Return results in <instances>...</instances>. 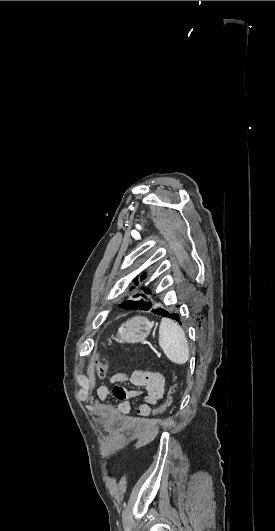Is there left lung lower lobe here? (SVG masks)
Listing matches in <instances>:
<instances>
[{
  "label": "left lung lower lobe",
  "instance_id": "left-lung-lower-lobe-1",
  "mask_svg": "<svg viewBox=\"0 0 275 531\" xmlns=\"http://www.w3.org/2000/svg\"><path fill=\"white\" fill-rule=\"evenodd\" d=\"M154 312L157 313V314H160L162 316H167V317H169L171 319H174V320L178 321L181 324L179 316L176 313L170 314V313H168L167 311H165L163 309H157Z\"/></svg>",
  "mask_w": 275,
  "mask_h": 531
}]
</instances>
